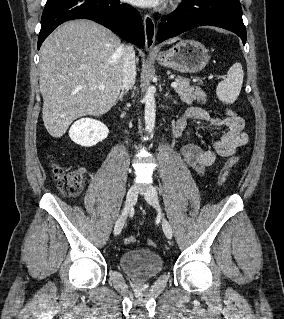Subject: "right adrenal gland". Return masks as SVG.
<instances>
[{
  "label": "right adrenal gland",
  "instance_id": "1",
  "mask_svg": "<svg viewBox=\"0 0 284 319\" xmlns=\"http://www.w3.org/2000/svg\"><path fill=\"white\" fill-rule=\"evenodd\" d=\"M127 93V90L124 91L122 90V92L119 94L118 98L115 101V104L119 101V100H123V96Z\"/></svg>",
  "mask_w": 284,
  "mask_h": 319
}]
</instances>
